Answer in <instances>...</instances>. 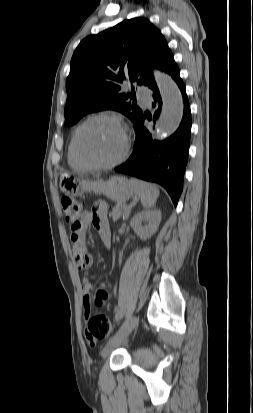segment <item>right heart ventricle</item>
<instances>
[{
	"mask_svg": "<svg viewBox=\"0 0 253 413\" xmlns=\"http://www.w3.org/2000/svg\"><path fill=\"white\" fill-rule=\"evenodd\" d=\"M74 135L71 136L68 148H67V160L71 167L75 169H85L86 166L78 159L74 149Z\"/></svg>",
	"mask_w": 253,
	"mask_h": 413,
	"instance_id": "right-heart-ventricle-1",
	"label": "right heart ventricle"
}]
</instances>
